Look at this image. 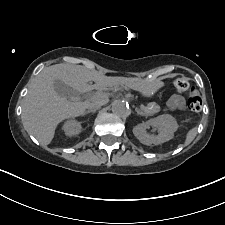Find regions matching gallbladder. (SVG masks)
Masks as SVG:
<instances>
[{
	"label": "gallbladder",
	"mask_w": 225,
	"mask_h": 225,
	"mask_svg": "<svg viewBox=\"0 0 225 225\" xmlns=\"http://www.w3.org/2000/svg\"><path fill=\"white\" fill-rule=\"evenodd\" d=\"M54 89L60 96L66 97L67 99L76 95V91L61 80L54 81Z\"/></svg>",
	"instance_id": "1"
}]
</instances>
